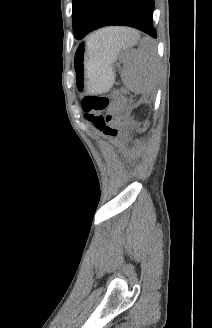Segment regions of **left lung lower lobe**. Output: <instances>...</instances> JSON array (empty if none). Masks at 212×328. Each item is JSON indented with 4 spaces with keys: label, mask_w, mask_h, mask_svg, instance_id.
Here are the masks:
<instances>
[{
    "label": "left lung lower lobe",
    "mask_w": 212,
    "mask_h": 328,
    "mask_svg": "<svg viewBox=\"0 0 212 328\" xmlns=\"http://www.w3.org/2000/svg\"><path fill=\"white\" fill-rule=\"evenodd\" d=\"M154 0H104L89 31L111 25L130 26L156 38Z\"/></svg>",
    "instance_id": "1"
}]
</instances>
